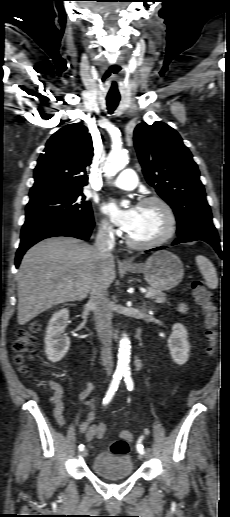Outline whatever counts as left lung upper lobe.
<instances>
[{"label":"left lung upper lobe","mask_w":230,"mask_h":517,"mask_svg":"<svg viewBox=\"0 0 230 517\" xmlns=\"http://www.w3.org/2000/svg\"><path fill=\"white\" fill-rule=\"evenodd\" d=\"M134 144L147 182L171 206L178 236L212 223L197 164L180 135L163 122L140 123Z\"/></svg>","instance_id":"1"}]
</instances>
